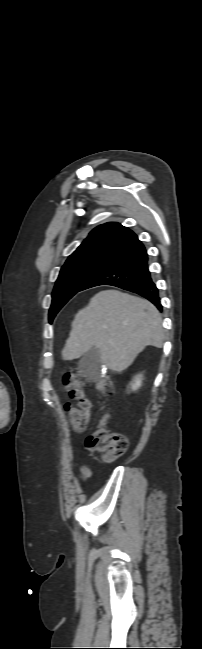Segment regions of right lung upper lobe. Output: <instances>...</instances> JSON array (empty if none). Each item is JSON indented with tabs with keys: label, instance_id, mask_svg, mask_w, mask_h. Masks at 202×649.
<instances>
[{
	"label": "right lung upper lobe",
	"instance_id": "1",
	"mask_svg": "<svg viewBox=\"0 0 202 649\" xmlns=\"http://www.w3.org/2000/svg\"><path fill=\"white\" fill-rule=\"evenodd\" d=\"M140 243L136 234L130 229L119 223L109 222L94 228L71 256L92 252L118 255Z\"/></svg>",
	"mask_w": 202,
	"mask_h": 649
}]
</instances>
